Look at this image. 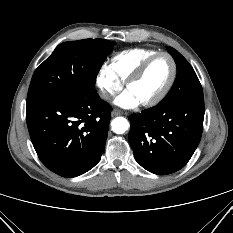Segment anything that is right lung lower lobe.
Here are the masks:
<instances>
[{
  "instance_id": "right-lung-lower-lobe-1",
  "label": "right lung lower lobe",
  "mask_w": 233,
  "mask_h": 233,
  "mask_svg": "<svg viewBox=\"0 0 233 233\" xmlns=\"http://www.w3.org/2000/svg\"><path fill=\"white\" fill-rule=\"evenodd\" d=\"M111 110L94 88L27 104V126L41 162L63 177L92 169L105 148Z\"/></svg>"
}]
</instances>
